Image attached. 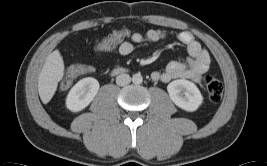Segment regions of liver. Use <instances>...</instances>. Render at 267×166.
<instances>
[{"label": "liver", "mask_w": 267, "mask_h": 166, "mask_svg": "<svg viewBox=\"0 0 267 166\" xmlns=\"http://www.w3.org/2000/svg\"><path fill=\"white\" fill-rule=\"evenodd\" d=\"M64 61L59 50L50 53L38 77V92L41 101L47 104L54 96L58 82L64 76Z\"/></svg>", "instance_id": "obj_1"}]
</instances>
